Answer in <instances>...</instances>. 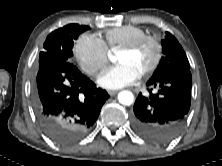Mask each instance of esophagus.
<instances>
[{"label": "esophagus", "instance_id": "obj_1", "mask_svg": "<svg viewBox=\"0 0 222 166\" xmlns=\"http://www.w3.org/2000/svg\"><path fill=\"white\" fill-rule=\"evenodd\" d=\"M118 93V91H116V90H109L108 91V94L110 95V96H114V95H116Z\"/></svg>", "mask_w": 222, "mask_h": 166}]
</instances>
